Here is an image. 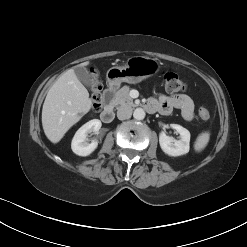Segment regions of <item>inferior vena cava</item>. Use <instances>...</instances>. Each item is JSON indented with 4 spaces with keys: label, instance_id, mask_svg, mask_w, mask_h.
<instances>
[{
    "label": "inferior vena cava",
    "instance_id": "1",
    "mask_svg": "<svg viewBox=\"0 0 247 247\" xmlns=\"http://www.w3.org/2000/svg\"><path fill=\"white\" fill-rule=\"evenodd\" d=\"M132 115V108L128 105H123L118 108L117 117L119 120L129 119Z\"/></svg>",
    "mask_w": 247,
    "mask_h": 247
}]
</instances>
